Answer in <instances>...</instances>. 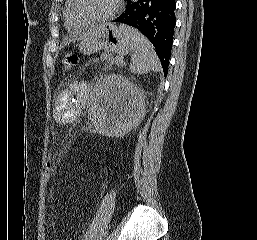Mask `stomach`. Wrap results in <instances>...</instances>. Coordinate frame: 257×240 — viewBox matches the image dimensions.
Instances as JSON below:
<instances>
[{"instance_id": "1", "label": "stomach", "mask_w": 257, "mask_h": 240, "mask_svg": "<svg viewBox=\"0 0 257 240\" xmlns=\"http://www.w3.org/2000/svg\"><path fill=\"white\" fill-rule=\"evenodd\" d=\"M100 49H106L121 56L129 51L127 32L112 23H104L89 33L80 43L79 51L91 55Z\"/></svg>"}]
</instances>
